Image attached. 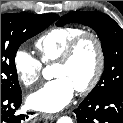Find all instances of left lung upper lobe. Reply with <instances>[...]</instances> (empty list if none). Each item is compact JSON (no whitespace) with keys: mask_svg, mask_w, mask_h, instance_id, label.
I'll use <instances>...</instances> for the list:
<instances>
[{"mask_svg":"<svg viewBox=\"0 0 123 123\" xmlns=\"http://www.w3.org/2000/svg\"><path fill=\"white\" fill-rule=\"evenodd\" d=\"M81 23L96 31L104 53V72L89 95L123 90V30L108 15L94 11H75L62 16L57 26Z\"/></svg>","mask_w":123,"mask_h":123,"instance_id":"obj_1","label":"left lung upper lobe"}]
</instances>
